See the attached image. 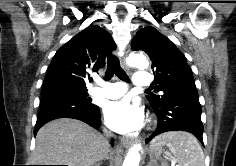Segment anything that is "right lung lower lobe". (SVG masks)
<instances>
[{
    "label": "right lung lower lobe",
    "instance_id": "right-lung-lower-lobe-1",
    "mask_svg": "<svg viewBox=\"0 0 236 166\" xmlns=\"http://www.w3.org/2000/svg\"><path fill=\"white\" fill-rule=\"evenodd\" d=\"M62 86L65 85L43 86L42 90L53 92ZM64 117L81 120L92 127H99L101 124L99 107L96 105L83 106L55 102L52 104L40 105L37 122L34 128V135H36L38 130L47 122Z\"/></svg>",
    "mask_w": 236,
    "mask_h": 166
}]
</instances>
